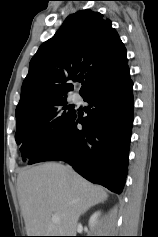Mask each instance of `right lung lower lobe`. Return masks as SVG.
<instances>
[{"label": "right lung lower lobe", "instance_id": "1", "mask_svg": "<svg viewBox=\"0 0 158 237\" xmlns=\"http://www.w3.org/2000/svg\"><path fill=\"white\" fill-rule=\"evenodd\" d=\"M133 82L124 65L82 96L87 116L77 113L51 136L28 164L64 160L87 180L121 193L133 123ZM82 129L77 128V124Z\"/></svg>", "mask_w": 158, "mask_h": 237}]
</instances>
